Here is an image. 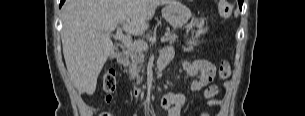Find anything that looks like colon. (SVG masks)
I'll return each mask as SVG.
<instances>
[{"label":"colon","instance_id":"obj_1","mask_svg":"<svg viewBox=\"0 0 305 116\" xmlns=\"http://www.w3.org/2000/svg\"><path fill=\"white\" fill-rule=\"evenodd\" d=\"M218 11L220 16L228 20L233 13V7L230 1L220 0L218 2ZM218 74L220 79L225 80L231 75V67L229 63H222L219 67ZM117 88V79L114 69H107L103 74V90L105 93L104 100L106 103H110L113 99V94ZM99 116H114L111 112L104 110Z\"/></svg>","mask_w":305,"mask_h":116}]
</instances>
